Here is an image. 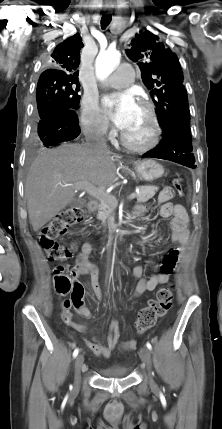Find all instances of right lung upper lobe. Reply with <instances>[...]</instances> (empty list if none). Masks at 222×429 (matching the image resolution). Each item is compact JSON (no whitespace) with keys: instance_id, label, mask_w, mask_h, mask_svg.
I'll list each match as a JSON object with an SVG mask.
<instances>
[{"instance_id":"right-lung-upper-lobe-1","label":"right lung upper lobe","mask_w":222,"mask_h":429,"mask_svg":"<svg viewBox=\"0 0 222 429\" xmlns=\"http://www.w3.org/2000/svg\"><path fill=\"white\" fill-rule=\"evenodd\" d=\"M81 36L75 34L57 45L51 54V68L40 78H72L78 80L77 68L80 64V50L83 48Z\"/></svg>"}]
</instances>
